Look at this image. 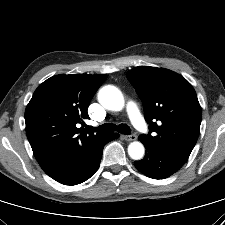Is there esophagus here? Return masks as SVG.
Returning <instances> with one entry per match:
<instances>
[{
	"mask_svg": "<svg viewBox=\"0 0 225 225\" xmlns=\"http://www.w3.org/2000/svg\"><path fill=\"white\" fill-rule=\"evenodd\" d=\"M122 138L126 141H134L136 140L137 136L135 134L123 135Z\"/></svg>",
	"mask_w": 225,
	"mask_h": 225,
	"instance_id": "1",
	"label": "esophagus"
}]
</instances>
